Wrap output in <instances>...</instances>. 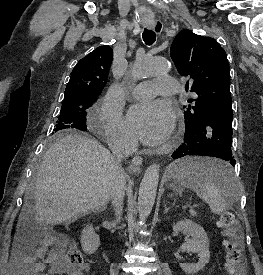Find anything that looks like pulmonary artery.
Instances as JSON below:
<instances>
[{
    "label": "pulmonary artery",
    "instance_id": "obj_1",
    "mask_svg": "<svg viewBox=\"0 0 263 275\" xmlns=\"http://www.w3.org/2000/svg\"><path fill=\"white\" fill-rule=\"evenodd\" d=\"M178 81L170 76H161L153 81H143L133 89V96L136 99L146 100L157 95L170 96L178 92Z\"/></svg>",
    "mask_w": 263,
    "mask_h": 275
}]
</instances>
